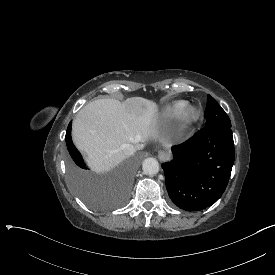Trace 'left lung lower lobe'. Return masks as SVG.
Listing matches in <instances>:
<instances>
[{
  "mask_svg": "<svg viewBox=\"0 0 275 275\" xmlns=\"http://www.w3.org/2000/svg\"><path fill=\"white\" fill-rule=\"evenodd\" d=\"M162 164L172 202L186 211L214 204L225 191L235 159L231 126H206Z\"/></svg>",
  "mask_w": 275,
  "mask_h": 275,
  "instance_id": "left-lung-lower-lobe-1",
  "label": "left lung lower lobe"
}]
</instances>
